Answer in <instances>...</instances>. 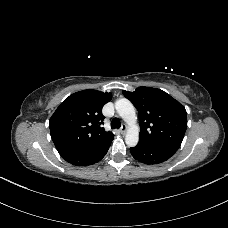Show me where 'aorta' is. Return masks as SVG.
<instances>
[{
	"instance_id": "aorta-1",
	"label": "aorta",
	"mask_w": 228,
	"mask_h": 228,
	"mask_svg": "<svg viewBox=\"0 0 228 228\" xmlns=\"http://www.w3.org/2000/svg\"><path fill=\"white\" fill-rule=\"evenodd\" d=\"M115 108L121 118L128 124L125 142L129 147H135L139 141V126L133 104L126 98L115 102Z\"/></svg>"
}]
</instances>
